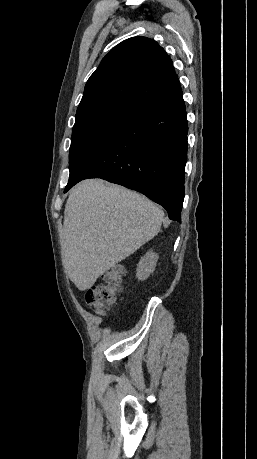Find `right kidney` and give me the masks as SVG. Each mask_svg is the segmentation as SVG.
<instances>
[{
	"instance_id": "right-kidney-1",
	"label": "right kidney",
	"mask_w": 257,
	"mask_h": 459,
	"mask_svg": "<svg viewBox=\"0 0 257 459\" xmlns=\"http://www.w3.org/2000/svg\"><path fill=\"white\" fill-rule=\"evenodd\" d=\"M158 255L153 252H147L139 261L137 265L136 277L138 280H146L149 275L154 271Z\"/></svg>"
}]
</instances>
